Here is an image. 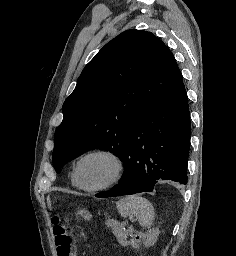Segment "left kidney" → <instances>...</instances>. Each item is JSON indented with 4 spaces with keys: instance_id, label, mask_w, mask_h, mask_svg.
<instances>
[{
    "instance_id": "left-kidney-1",
    "label": "left kidney",
    "mask_w": 236,
    "mask_h": 256,
    "mask_svg": "<svg viewBox=\"0 0 236 256\" xmlns=\"http://www.w3.org/2000/svg\"><path fill=\"white\" fill-rule=\"evenodd\" d=\"M159 234L160 232L158 228H153V230H149V232L145 234V238H147V240H145V246H154L155 242H157L158 240Z\"/></svg>"
}]
</instances>
